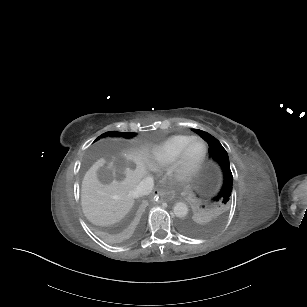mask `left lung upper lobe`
<instances>
[{
    "mask_svg": "<svg viewBox=\"0 0 307 307\" xmlns=\"http://www.w3.org/2000/svg\"><path fill=\"white\" fill-rule=\"evenodd\" d=\"M193 131L208 143L209 155L221 165L224 172L223 187L218 195L209 202L205 210L210 216L209 221L205 225H197L192 222H185L182 225L183 230L189 234L204 235L214 231L222 221L225 209L231 199L233 176L230 170L228 154L220 142L207 132L199 129H193Z\"/></svg>",
    "mask_w": 307,
    "mask_h": 307,
    "instance_id": "obj_1",
    "label": "left lung upper lobe"
}]
</instances>
